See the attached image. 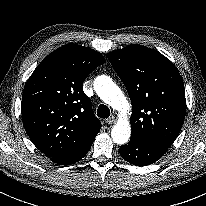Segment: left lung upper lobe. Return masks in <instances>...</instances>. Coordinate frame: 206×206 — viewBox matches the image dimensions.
Instances as JSON below:
<instances>
[{"mask_svg":"<svg viewBox=\"0 0 206 206\" xmlns=\"http://www.w3.org/2000/svg\"><path fill=\"white\" fill-rule=\"evenodd\" d=\"M107 57L132 102L131 139L169 148L186 115L184 84L175 65L141 45L109 52Z\"/></svg>","mask_w":206,"mask_h":206,"instance_id":"1","label":"left lung upper lobe"}]
</instances>
